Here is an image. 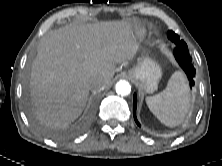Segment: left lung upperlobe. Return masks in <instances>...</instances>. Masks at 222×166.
Here are the masks:
<instances>
[{
  "label": "left lung upper lobe",
  "mask_w": 222,
  "mask_h": 166,
  "mask_svg": "<svg viewBox=\"0 0 222 166\" xmlns=\"http://www.w3.org/2000/svg\"><path fill=\"white\" fill-rule=\"evenodd\" d=\"M168 39L178 45H185L186 43L183 40H180L179 36L175 34L173 31H168L167 33Z\"/></svg>",
  "instance_id": "1"
}]
</instances>
